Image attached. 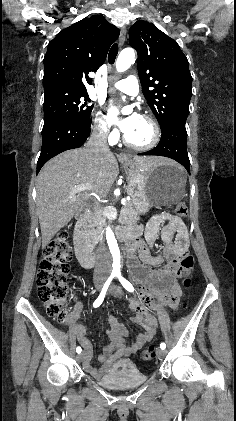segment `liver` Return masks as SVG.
Here are the masks:
<instances>
[{
	"label": "liver",
	"instance_id": "obj_1",
	"mask_svg": "<svg viewBox=\"0 0 236 421\" xmlns=\"http://www.w3.org/2000/svg\"><path fill=\"white\" fill-rule=\"evenodd\" d=\"M134 160L140 166H179L174 160H163L160 156H134ZM118 172V162L112 152H103L95 160L88 148L65 150L42 166L36 180V204L43 249L68 225L86 200L106 196ZM76 184H89L91 190H73Z\"/></svg>",
	"mask_w": 236,
	"mask_h": 421
}]
</instances>
